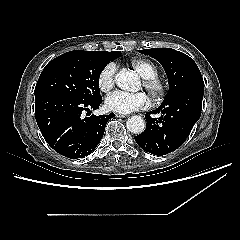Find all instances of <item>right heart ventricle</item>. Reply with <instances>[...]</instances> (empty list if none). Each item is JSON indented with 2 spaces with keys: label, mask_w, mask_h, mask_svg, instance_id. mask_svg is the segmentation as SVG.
Instances as JSON below:
<instances>
[{
  "label": "right heart ventricle",
  "mask_w": 240,
  "mask_h": 240,
  "mask_svg": "<svg viewBox=\"0 0 240 240\" xmlns=\"http://www.w3.org/2000/svg\"><path fill=\"white\" fill-rule=\"evenodd\" d=\"M131 65L134 70L142 77H151L157 75V69L153 63L146 59H133Z\"/></svg>",
  "instance_id": "obj_1"
}]
</instances>
